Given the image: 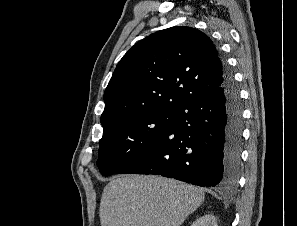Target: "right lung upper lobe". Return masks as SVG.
Instances as JSON below:
<instances>
[{"label": "right lung upper lobe", "instance_id": "cb5924a9", "mask_svg": "<svg viewBox=\"0 0 297 226\" xmlns=\"http://www.w3.org/2000/svg\"><path fill=\"white\" fill-rule=\"evenodd\" d=\"M224 81L211 39L192 27H172L136 43L119 61L104 93L103 129L151 111H176Z\"/></svg>", "mask_w": 297, "mask_h": 226}]
</instances>
